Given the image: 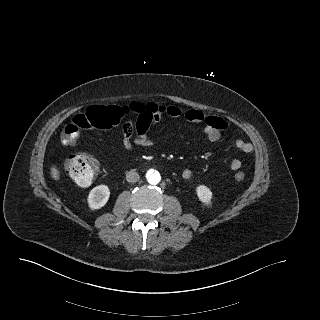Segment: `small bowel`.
<instances>
[{"label":"small bowel","mask_w":320,"mask_h":320,"mask_svg":"<svg viewBox=\"0 0 320 320\" xmlns=\"http://www.w3.org/2000/svg\"><path fill=\"white\" fill-rule=\"evenodd\" d=\"M162 115H167L169 117L178 118L183 116L185 120L192 123H203L205 125L204 132L207 139L211 142H216L221 137V132L226 128V122L218 117L207 116L203 112L195 109L182 111L176 106H157V105H147L143 106L142 110L139 111L138 117H142L148 121L147 125L142 127H137L132 122H127L122 127V144L128 149L132 150L135 146L149 147L153 144V139L150 136L149 130L152 125H154ZM235 147L237 150L244 154H249L253 150V146L246 141L238 139L235 141ZM241 161L239 159H233L230 162V168L234 171L241 168ZM193 173L191 169H184L182 176L185 179H190Z\"/></svg>","instance_id":"c3829d8e"}]
</instances>
